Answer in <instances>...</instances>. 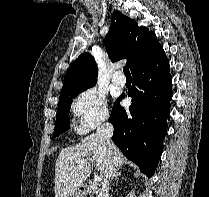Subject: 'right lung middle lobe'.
<instances>
[{
    "label": "right lung middle lobe",
    "mask_w": 209,
    "mask_h": 197,
    "mask_svg": "<svg viewBox=\"0 0 209 197\" xmlns=\"http://www.w3.org/2000/svg\"><path fill=\"white\" fill-rule=\"evenodd\" d=\"M94 85L70 88L60 94L55 128H54L55 136L63 133L64 131L70 128V124L68 121V114L70 111L72 99L75 98L79 93L83 92L84 90Z\"/></svg>",
    "instance_id": "dd1d6c3e"
}]
</instances>
